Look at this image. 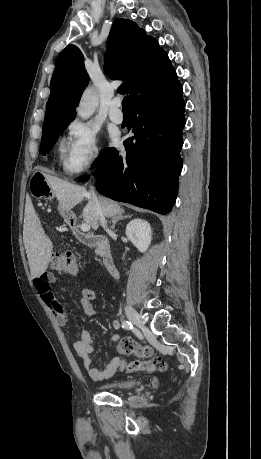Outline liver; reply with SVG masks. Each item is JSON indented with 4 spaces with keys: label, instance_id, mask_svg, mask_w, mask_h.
Listing matches in <instances>:
<instances>
[{
    "label": "liver",
    "instance_id": "6515ba94",
    "mask_svg": "<svg viewBox=\"0 0 261 459\" xmlns=\"http://www.w3.org/2000/svg\"><path fill=\"white\" fill-rule=\"evenodd\" d=\"M41 173L45 176L62 210H71L82 202L84 198L87 200L81 217L94 230H97L100 218L96 213L91 192L82 186L52 176L46 173L45 170H41ZM98 199L104 216L109 218L123 214L124 210L117 202L102 196H99ZM24 245L31 277L37 278L47 269L53 252V244L44 233L32 206H30V216L24 229Z\"/></svg>",
    "mask_w": 261,
    "mask_h": 459
}]
</instances>
